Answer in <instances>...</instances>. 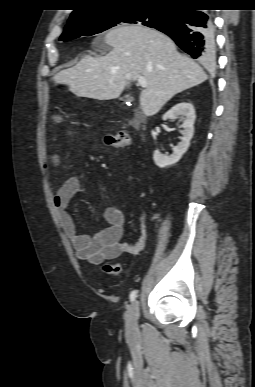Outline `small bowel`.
I'll return each instance as SVG.
<instances>
[{
    "instance_id": "1",
    "label": "small bowel",
    "mask_w": 255,
    "mask_h": 387,
    "mask_svg": "<svg viewBox=\"0 0 255 387\" xmlns=\"http://www.w3.org/2000/svg\"><path fill=\"white\" fill-rule=\"evenodd\" d=\"M60 122V118H55ZM52 162L59 163V155H52ZM81 184L77 176L66 179L54 196V207L58 214L60 225L72 243L76 256L91 264H100L112 260L122 254H137L145 246L146 232L143 231L134 243L123 241L125 214L116 207H107L103 211L106 226L98 229L93 235L80 233L68 211L70 201L80 191Z\"/></svg>"
}]
</instances>
